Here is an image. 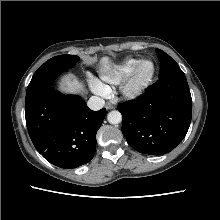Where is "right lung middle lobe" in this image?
<instances>
[{
  "instance_id": "right-lung-middle-lobe-1",
  "label": "right lung middle lobe",
  "mask_w": 220,
  "mask_h": 220,
  "mask_svg": "<svg viewBox=\"0 0 220 220\" xmlns=\"http://www.w3.org/2000/svg\"><path fill=\"white\" fill-rule=\"evenodd\" d=\"M79 61L78 56L60 55L45 62L33 75L26 92V100L52 86L57 76L72 68Z\"/></svg>"
}]
</instances>
